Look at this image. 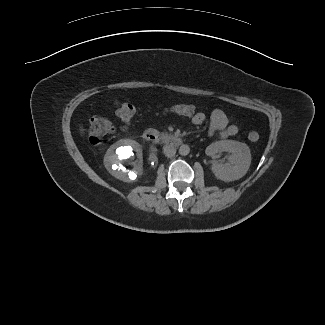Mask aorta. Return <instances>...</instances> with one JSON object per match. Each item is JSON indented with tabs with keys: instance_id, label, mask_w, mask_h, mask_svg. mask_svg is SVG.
Masks as SVG:
<instances>
[{
	"instance_id": "obj_1",
	"label": "aorta",
	"mask_w": 325,
	"mask_h": 325,
	"mask_svg": "<svg viewBox=\"0 0 325 325\" xmlns=\"http://www.w3.org/2000/svg\"><path fill=\"white\" fill-rule=\"evenodd\" d=\"M190 152V147L188 145H181L179 148V154L182 156L188 155Z\"/></svg>"
}]
</instances>
